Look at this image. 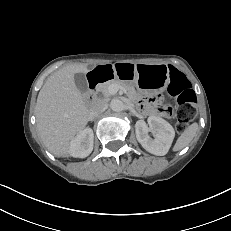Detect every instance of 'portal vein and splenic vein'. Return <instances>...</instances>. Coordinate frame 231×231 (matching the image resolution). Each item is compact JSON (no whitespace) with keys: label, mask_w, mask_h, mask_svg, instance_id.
Segmentation results:
<instances>
[{"label":"portal vein and splenic vein","mask_w":231,"mask_h":231,"mask_svg":"<svg viewBox=\"0 0 231 231\" xmlns=\"http://www.w3.org/2000/svg\"><path fill=\"white\" fill-rule=\"evenodd\" d=\"M118 90H119V87L117 85H112L110 87L111 93H116ZM124 92H125V90H124Z\"/></svg>","instance_id":"18ae733b"}]
</instances>
